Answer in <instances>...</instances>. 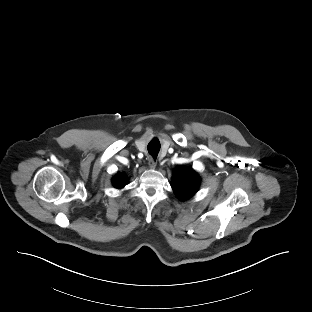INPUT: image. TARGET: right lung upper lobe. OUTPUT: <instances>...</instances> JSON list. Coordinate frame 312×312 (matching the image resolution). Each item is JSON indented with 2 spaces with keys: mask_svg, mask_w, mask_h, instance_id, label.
<instances>
[{
  "mask_svg": "<svg viewBox=\"0 0 312 312\" xmlns=\"http://www.w3.org/2000/svg\"><path fill=\"white\" fill-rule=\"evenodd\" d=\"M128 180H129V178L127 176H125L124 174L118 173L113 178V185L116 188H122L127 184Z\"/></svg>",
  "mask_w": 312,
  "mask_h": 312,
  "instance_id": "1",
  "label": "right lung upper lobe"
}]
</instances>
